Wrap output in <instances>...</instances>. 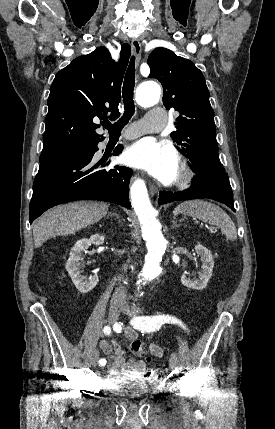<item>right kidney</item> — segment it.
<instances>
[{
    "label": "right kidney",
    "mask_w": 275,
    "mask_h": 429,
    "mask_svg": "<svg viewBox=\"0 0 275 429\" xmlns=\"http://www.w3.org/2000/svg\"><path fill=\"white\" fill-rule=\"evenodd\" d=\"M103 243L104 236L100 234H94L89 239L84 238L78 240L71 249L70 257L66 263V269L75 287L82 294L90 292L99 281L97 273H94L88 279L81 275L80 269L83 265V251L88 249L91 244L102 245Z\"/></svg>",
    "instance_id": "ca27d5eb"
}]
</instances>
